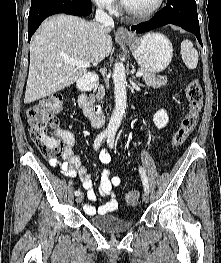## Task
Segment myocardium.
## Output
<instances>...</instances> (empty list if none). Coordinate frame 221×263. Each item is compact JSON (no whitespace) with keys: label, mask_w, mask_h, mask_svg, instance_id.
Listing matches in <instances>:
<instances>
[{"label":"myocardium","mask_w":221,"mask_h":263,"mask_svg":"<svg viewBox=\"0 0 221 263\" xmlns=\"http://www.w3.org/2000/svg\"><path fill=\"white\" fill-rule=\"evenodd\" d=\"M164 1L165 0H158L157 3L153 7L146 9V10L133 9L124 0H122V6L129 15H132L134 17L143 18V17H149L155 14L156 12H158L162 8Z\"/></svg>","instance_id":"1"}]
</instances>
